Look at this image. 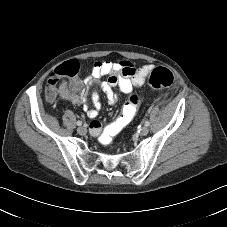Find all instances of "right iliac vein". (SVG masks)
<instances>
[{
    "label": "right iliac vein",
    "instance_id": "1",
    "mask_svg": "<svg viewBox=\"0 0 227 227\" xmlns=\"http://www.w3.org/2000/svg\"><path fill=\"white\" fill-rule=\"evenodd\" d=\"M77 133L79 134V135H84L85 133H86V129H85V127H78V129H77Z\"/></svg>",
    "mask_w": 227,
    "mask_h": 227
}]
</instances>
